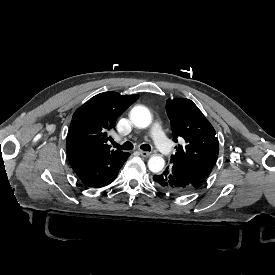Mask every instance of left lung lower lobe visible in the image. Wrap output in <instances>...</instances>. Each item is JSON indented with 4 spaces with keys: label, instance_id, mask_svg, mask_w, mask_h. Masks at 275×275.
I'll return each instance as SVG.
<instances>
[{
    "label": "left lung lower lobe",
    "instance_id": "left-lung-lower-lobe-1",
    "mask_svg": "<svg viewBox=\"0 0 275 275\" xmlns=\"http://www.w3.org/2000/svg\"><path fill=\"white\" fill-rule=\"evenodd\" d=\"M153 180L158 189L174 196L187 195L196 189L173 166H168L163 173L154 175Z\"/></svg>",
    "mask_w": 275,
    "mask_h": 275
}]
</instances>
